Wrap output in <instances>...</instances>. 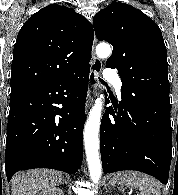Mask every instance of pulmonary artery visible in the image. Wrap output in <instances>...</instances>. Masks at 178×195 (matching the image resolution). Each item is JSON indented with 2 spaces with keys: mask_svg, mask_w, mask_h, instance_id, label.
<instances>
[{
  "mask_svg": "<svg viewBox=\"0 0 178 195\" xmlns=\"http://www.w3.org/2000/svg\"><path fill=\"white\" fill-rule=\"evenodd\" d=\"M105 77L108 83L115 86L118 95H120L122 82L118 75L111 68H108L105 72Z\"/></svg>",
  "mask_w": 178,
  "mask_h": 195,
  "instance_id": "pulmonary-artery-1",
  "label": "pulmonary artery"
}]
</instances>
